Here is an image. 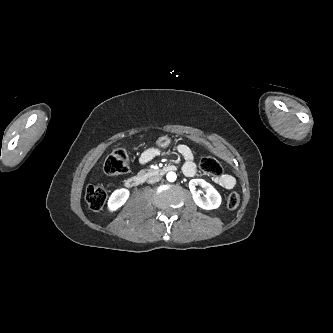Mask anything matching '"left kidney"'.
I'll list each match as a JSON object with an SVG mask.
<instances>
[{"label":"left kidney","instance_id":"5707ae66","mask_svg":"<svg viewBox=\"0 0 333 333\" xmlns=\"http://www.w3.org/2000/svg\"><path fill=\"white\" fill-rule=\"evenodd\" d=\"M200 185L204 188L206 195L205 198L200 196V192L196 191V186ZM189 188L193 195L194 202L202 209L211 210L216 209L221 204V196L217 190L208 182L203 179H192L189 182Z\"/></svg>","mask_w":333,"mask_h":333}]
</instances>
